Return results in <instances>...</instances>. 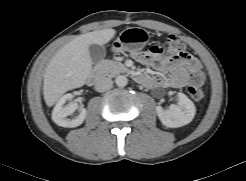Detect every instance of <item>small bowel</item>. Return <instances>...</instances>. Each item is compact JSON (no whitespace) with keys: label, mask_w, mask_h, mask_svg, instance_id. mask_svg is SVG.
Instances as JSON below:
<instances>
[{"label":"small bowel","mask_w":246,"mask_h":181,"mask_svg":"<svg viewBox=\"0 0 246 181\" xmlns=\"http://www.w3.org/2000/svg\"><path fill=\"white\" fill-rule=\"evenodd\" d=\"M139 63L151 66L168 76H145V86L150 88H182L190 84H196L193 79V67L199 64L198 60L191 54L182 51L170 56H163V53L141 52L132 54Z\"/></svg>","instance_id":"1"}]
</instances>
